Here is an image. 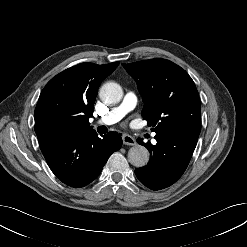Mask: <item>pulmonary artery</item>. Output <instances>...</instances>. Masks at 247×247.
Wrapping results in <instances>:
<instances>
[{
	"instance_id": "pulmonary-artery-1",
	"label": "pulmonary artery",
	"mask_w": 247,
	"mask_h": 247,
	"mask_svg": "<svg viewBox=\"0 0 247 247\" xmlns=\"http://www.w3.org/2000/svg\"><path fill=\"white\" fill-rule=\"evenodd\" d=\"M137 104V98L133 93H127L122 103L112 108L107 114L97 120L100 125H112L119 122L128 112L132 111Z\"/></svg>"
}]
</instances>
